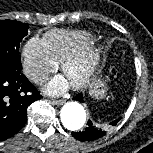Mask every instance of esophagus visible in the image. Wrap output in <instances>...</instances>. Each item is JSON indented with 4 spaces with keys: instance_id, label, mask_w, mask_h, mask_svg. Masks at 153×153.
I'll return each instance as SVG.
<instances>
[{
    "instance_id": "1",
    "label": "esophagus",
    "mask_w": 153,
    "mask_h": 153,
    "mask_svg": "<svg viewBox=\"0 0 153 153\" xmlns=\"http://www.w3.org/2000/svg\"><path fill=\"white\" fill-rule=\"evenodd\" d=\"M52 104L61 106L64 104V101L63 100H52Z\"/></svg>"
}]
</instances>
